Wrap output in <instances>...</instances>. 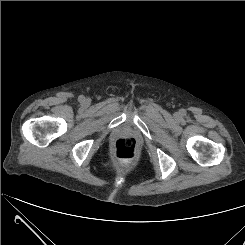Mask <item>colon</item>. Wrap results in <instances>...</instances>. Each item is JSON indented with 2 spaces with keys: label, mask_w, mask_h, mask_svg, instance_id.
Returning a JSON list of instances; mask_svg holds the SVG:
<instances>
[{
  "label": "colon",
  "mask_w": 245,
  "mask_h": 245,
  "mask_svg": "<svg viewBox=\"0 0 245 245\" xmlns=\"http://www.w3.org/2000/svg\"><path fill=\"white\" fill-rule=\"evenodd\" d=\"M113 153L119 160H132L138 154L137 141L134 138L118 139L114 142Z\"/></svg>",
  "instance_id": "colon-1"
}]
</instances>
